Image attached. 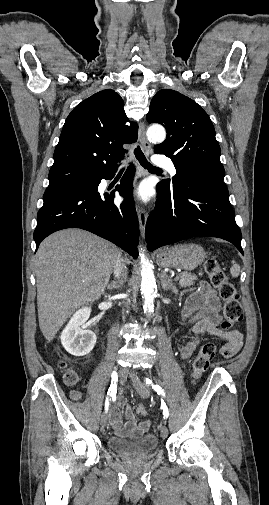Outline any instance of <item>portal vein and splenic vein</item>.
<instances>
[{
    "label": "portal vein and splenic vein",
    "instance_id": "1",
    "mask_svg": "<svg viewBox=\"0 0 269 505\" xmlns=\"http://www.w3.org/2000/svg\"><path fill=\"white\" fill-rule=\"evenodd\" d=\"M179 278H180L179 276H176V277H175V280H179Z\"/></svg>",
    "mask_w": 269,
    "mask_h": 505
}]
</instances>
